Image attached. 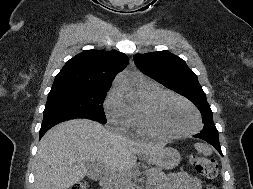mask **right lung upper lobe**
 <instances>
[{
	"label": "right lung upper lobe",
	"mask_w": 253,
	"mask_h": 189,
	"mask_svg": "<svg viewBox=\"0 0 253 189\" xmlns=\"http://www.w3.org/2000/svg\"><path fill=\"white\" fill-rule=\"evenodd\" d=\"M128 64L118 51L85 50L66 62L52 88L111 87L114 76Z\"/></svg>",
	"instance_id": "1"
}]
</instances>
